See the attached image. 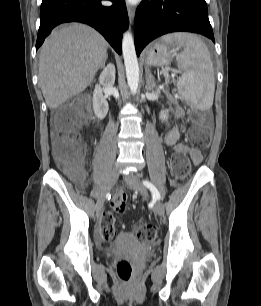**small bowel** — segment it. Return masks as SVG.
<instances>
[{
  "mask_svg": "<svg viewBox=\"0 0 261 306\" xmlns=\"http://www.w3.org/2000/svg\"><path fill=\"white\" fill-rule=\"evenodd\" d=\"M179 131L178 129H172L165 137V142L167 145L172 146L176 150H185L189 152L190 156L192 157L195 164H199L202 161V155L199 150L195 148H190L184 146L178 142L179 140Z\"/></svg>",
  "mask_w": 261,
  "mask_h": 306,
  "instance_id": "obj_1",
  "label": "small bowel"
}]
</instances>
